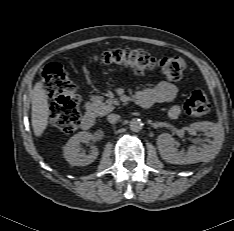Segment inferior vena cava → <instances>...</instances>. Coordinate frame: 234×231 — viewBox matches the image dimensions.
Instances as JSON below:
<instances>
[{
  "label": "inferior vena cava",
  "instance_id": "inferior-vena-cava-1",
  "mask_svg": "<svg viewBox=\"0 0 234 231\" xmlns=\"http://www.w3.org/2000/svg\"><path fill=\"white\" fill-rule=\"evenodd\" d=\"M120 119V116L117 114H109L107 117V120L109 123H116Z\"/></svg>",
  "mask_w": 234,
  "mask_h": 231
}]
</instances>
